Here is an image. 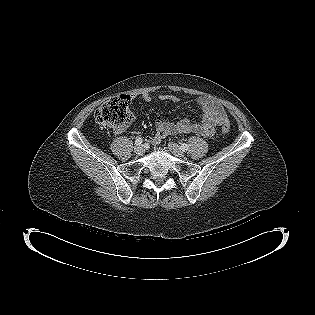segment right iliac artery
Segmentation results:
<instances>
[{"instance_id":"82829eb1","label":"right iliac artery","mask_w":315,"mask_h":315,"mask_svg":"<svg viewBox=\"0 0 315 315\" xmlns=\"http://www.w3.org/2000/svg\"><path fill=\"white\" fill-rule=\"evenodd\" d=\"M142 141H143L142 138L139 137V138H137V139L135 140V144H136V145H141V144H142Z\"/></svg>"}]
</instances>
